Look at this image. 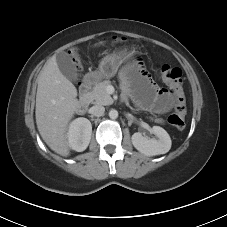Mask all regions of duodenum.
Wrapping results in <instances>:
<instances>
[{
    "label": "duodenum",
    "instance_id": "1",
    "mask_svg": "<svg viewBox=\"0 0 227 227\" xmlns=\"http://www.w3.org/2000/svg\"><path fill=\"white\" fill-rule=\"evenodd\" d=\"M93 83L92 77L88 76L85 78L84 83L81 87V94L80 97L78 98L76 104H75V110L76 112H82L85 107L89 103V95H88V90L90 89L91 85Z\"/></svg>",
    "mask_w": 227,
    "mask_h": 227
}]
</instances>
